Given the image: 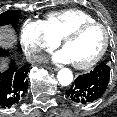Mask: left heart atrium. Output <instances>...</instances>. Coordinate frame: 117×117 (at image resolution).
Returning <instances> with one entry per match:
<instances>
[{
	"label": "left heart atrium",
	"instance_id": "39dd6f15",
	"mask_svg": "<svg viewBox=\"0 0 117 117\" xmlns=\"http://www.w3.org/2000/svg\"><path fill=\"white\" fill-rule=\"evenodd\" d=\"M54 60L58 62H63V63L72 62L70 55L65 49L58 51L54 55Z\"/></svg>",
	"mask_w": 117,
	"mask_h": 117
}]
</instances>
